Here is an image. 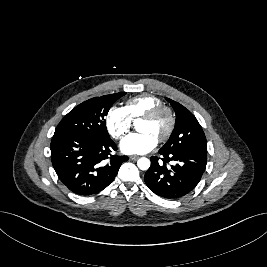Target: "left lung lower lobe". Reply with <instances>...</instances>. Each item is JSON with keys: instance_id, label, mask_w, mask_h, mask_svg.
Returning <instances> with one entry per match:
<instances>
[{"instance_id": "left-lung-lower-lobe-1", "label": "left lung lower lobe", "mask_w": 267, "mask_h": 267, "mask_svg": "<svg viewBox=\"0 0 267 267\" xmlns=\"http://www.w3.org/2000/svg\"><path fill=\"white\" fill-rule=\"evenodd\" d=\"M159 155L151 157V166L144 176L150 190L167 199H178L190 193L205 171L207 153L159 150Z\"/></svg>"}]
</instances>
